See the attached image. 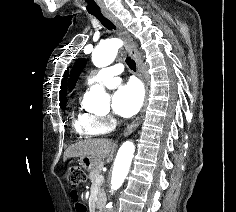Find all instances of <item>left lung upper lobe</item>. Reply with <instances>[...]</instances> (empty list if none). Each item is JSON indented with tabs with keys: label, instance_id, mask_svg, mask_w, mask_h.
I'll return each instance as SVG.
<instances>
[{
	"label": "left lung upper lobe",
	"instance_id": "obj_1",
	"mask_svg": "<svg viewBox=\"0 0 236 212\" xmlns=\"http://www.w3.org/2000/svg\"><path fill=\"white\" fill-rule=\"evenodd\" d=\"M85 65H86V60L83 58V59H79L73 66L72 71H71V78L69 81L70 88H74L76 81L78 79V76L82 72Z\"/></svg>",
	"mask_w": 236,
	"mask_h": 212
}]
</instances>
